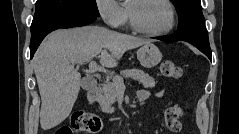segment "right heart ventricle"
<instances>
[{"instance_id":"e07e8e85","label":"right heart ventricle","mask_w":239,"mask_h":134,"mask_svg":"<svg viewBox=\"0 0 239 134\" xmlns=\"http://www.w3.org/2000/svg\"><path fill=\"white\" fill-rule=\"evenodd\" d=\"M124 10H125V15H126V17H125V21H126L127 20V16H128L127 8L124 9Z\"/></svg>"}]
</instances>
